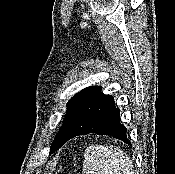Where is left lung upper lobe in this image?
<instances>
[{
	"instance_id": "5c2ea615",
	"label": "left lung upper lobe",
	"mask_w": 175,
	"mask_h": 174,
	"mask_svg": "<svg viewBox=\"0 0 175 174\" xmlns=\"http://www.w3.org/2000/svg\"><path fill=\"white\" fill-rule=\"evenodd\" d=\"M96 86H92L86 89H83L82 91L78 92L67 104V111L68 114L66 115V119L64 121L63 126L61 127V129L59 130V132L56 134L54 141L51 145L50 148V153H54L58 148H60L63 145V135L65 132V129L68 125V122L70 120V117L76 107V105L78 104V102L88 93L90 92L92 89H94Z\"/></svg>"
}]
</instances>
